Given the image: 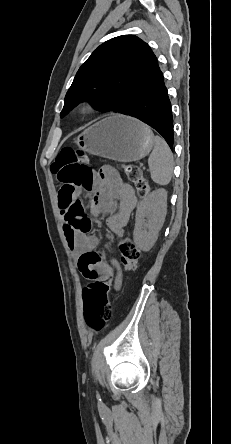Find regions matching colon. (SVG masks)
<instances>
[{
    "label": "colon",
    "mask_w": 231,
    "mask_h": 444,
    "mask_svg": "<svg viewBox=\"0 0 231 444\" xmlns=\"http://www.w3.org/2000/svg\"><path fill=\"white\" fill-rule=\"evenodd\" d=\"M122 168L127 179L134 184L139 196L147 195L149 185L141 169L131 163L123 164ZM51 170L57 179L70 189L89 186L94 176V171L86 164L82 152L73 148H63L58 153ZM71 215L76 230L88 234L91 221L86 216L82 203L78 201L71 207ZM120 251L125 271L127 273L134 271L140 257L137 245L131 238L126 237L120 245ZM111 286L108 280H96L83 292L85 320L95 331L104 329L112 317Z\"/></svg>",
    "instance_id": "colon-1"
}]
</instances>
